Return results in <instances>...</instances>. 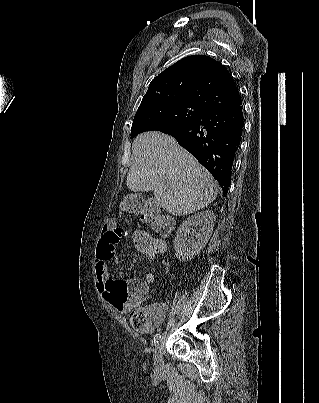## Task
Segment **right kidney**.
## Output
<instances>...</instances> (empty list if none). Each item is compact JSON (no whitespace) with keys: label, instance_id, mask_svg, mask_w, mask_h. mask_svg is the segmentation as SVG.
I'll use <instances>...</instances> for the list:
<instances>
[{"label":"right kidney","instance_id":"right-kidney-1","mask_svg":"<svg viewBox=\"0 0 319 403\" xmlns=\"http://www.w3.org/2000/svg\"><path fill=\"white\" fill-rule=\"evenodd\" d=\"M214 222V213L205 210L192 215L180 225L174 240L175 255L179 261L187 262L199 254L212 234ZM193 227H199L198 232L189 236Z\"/></svg>","mask_w":319,"mask_h":403}]
</instances>
